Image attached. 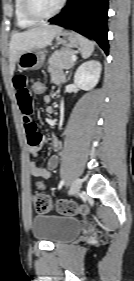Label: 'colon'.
Wrapping results in <instances>:
<instances>
[{
    "mask_svg": "<svg viewBox=\"0 0 134 281\" xmlns=\"http://www.w3.org/2000/svg\"><path fill=\"white\" fill-rule=\"evenodd\" d=\"M31 91L34 95H42L46 91V84L41 79H35L31 84ZM33 205L37 212L46 213L52 210L54 207L52 199L46 194H36L33 198ZM55 208L65 215H76L84 214L87 212V209L73 202L59 201Z\"/></svg>",
    "mask_w": 134,
    "mask_h": 281,
    "instance_id": "colon-1",
    "label": "colon"
}]
</instances>
